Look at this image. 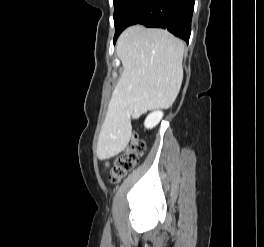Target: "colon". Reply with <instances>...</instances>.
<instances>
[{
  "label": "colon",
  "instance_id": "colon-1",
  "mask_svg": "<svg viewBox=\"0 0 264 247\" xmlns=\"http://www.w3.org/2000/svg\"><path fill=\"white\" fill-rule=\"evenodd\" d=\"M144 152V142L139 138H133L129 145L112 160L110 166V181L117 183L136 165Z\"/></svg>",
  "mask_w": 264,
  "mask_h": 247
}]
</instances>
